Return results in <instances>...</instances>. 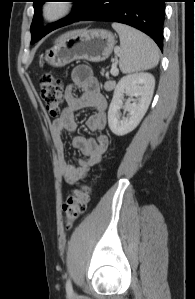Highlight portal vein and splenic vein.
I'll return each mask as SVG.
<instances>
[{
    "mask_svg": "<svg viewBox=\"0 0 195 299\" xmlns=\"http://www.w3.org/2000/svg\"><path fill=\"white\" fill-rule=\"evenodd\" d=\"M111 74L113 75V76H116V75H118V73H119V70H118V68L116 67V64H114L113 66H112V68H111Z\"/></svg>",
    "mask_w": 195,
    "mask_h": 299,
    "instance_id": "1",
    "label": "portal vein and splenic vein"
}]
</instances>
